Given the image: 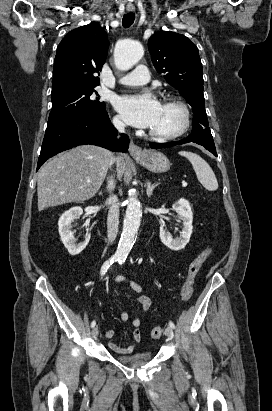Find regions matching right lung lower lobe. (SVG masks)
<instances>
[{"label": "right lung lower lobe", "instance_id": "obj_1", "mask_svg": "<svg viewBox=\"0 0 272 411\" xmlns=\"http://www.w3.org/2000/svg\"><path fill=\"white\" fill-rule=\"evenodd\" d=\"M117 130L111 124L107 112L97 114H78L47 125L37 170L50 157L77 145H98L115 152H126L129 138L122 134L120 140L115 136Z\"/></svg>", "mask_w": 272, "mask_h": 411}]
</instances>
